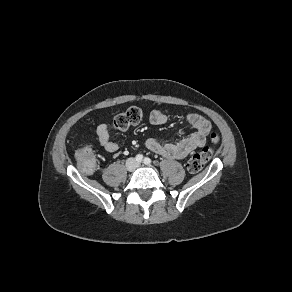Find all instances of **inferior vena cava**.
<instances>
[{
  "mask_svg": "<svg viewBox=\"0 0 292 292\" xmlns=\"http://www.w3.org/2000/svg\"><path fill=\"white\" fill-rule=\"evenodd\" d=\"M126 166L129 170L135 169L139 166V163L134 158H128L126 160Z\"/></svg>",
  "mask_w": 292,
  "mask_h": 292,
  "instance_id": "inferior-vena-cava-1",
  "label": "inferior vena cava"
}]
</instances>
